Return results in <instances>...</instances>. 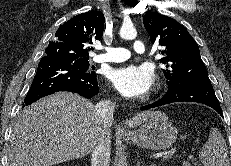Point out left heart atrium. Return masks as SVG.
Wrapping results in <instances>:
<instances>
[{"label": "left heart atrium", "mask_w": 231, "mask_h": 166, "mask_svg": "<svg viewBox=\"0 0 231 166\" xmlns=\"http://www.w3.org/2000/svg\"><path fill=\"white\" fill-rule=\"evenodd\" d=\"M108 79L121 94L135 98L144 96L150 91L154 74L147 65H127L112 69Z\"/></svg>", "instance_id": "obj_1"}]
</instances>
